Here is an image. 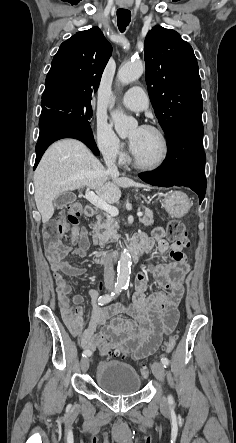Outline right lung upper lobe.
Returning a JSON list of instances; mask_svg holds the SVG:
<instances>
[{"label": "right lung upper lobe", "instance_id": "cb5924a9", "mask_svg": "<svg viewBox=\"0 0 236 443\" xmlns=\"http://www.w3.org/2000/svg\"><path fill=\"white\" fill-rule=\"evenodd\" d=\"M111 52V44L98 27L78 32L63 42L52 60L41 102L57 95L91 99Z\"/></svg>", "mask_w": 236, "mask_h": 443}]
</instances>
